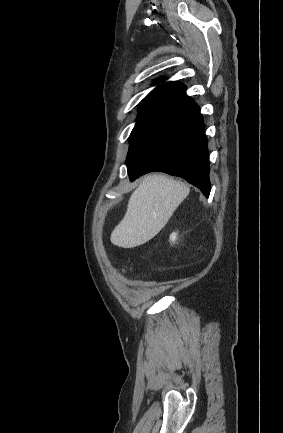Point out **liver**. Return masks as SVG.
<instances>
[{
	"mask_svg": "<svg viewBox=\"0 0 283 433\" xmlns=\"http://www.w3.org/2000/svg\"><path fill=\"white\" fill-rule=\"evenodd\" d=\"M190 188L165 174H151L132 192L124 219L111 233L117 247L133 249L153 239L189 194Z\"/></svg>",
	"mask_w": 283,
	"mask_h": 433,
	"instance_id": "1",
	"label": "liver"
}]
</instances>
